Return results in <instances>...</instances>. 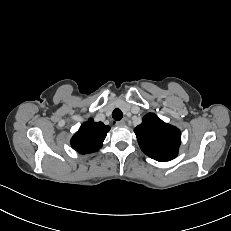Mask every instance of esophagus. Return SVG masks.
Wrapping results in <instances>:
<instances>
[{"label": "esophagus", "instance_id": "34e87169", "mask_svg": "<svg viewBox=\"0 0 231 231\" xmlns=\"http://www.w3.org/2000/svg\"><path fill=\"white\" fill-rule=\"evenodd\" d=\"M115 125H116V126H123V125H125V121H124V120L116 121V122H115Z\"/></svg>", "mask_w": 231, "mask_h": 231}]
</instances>
